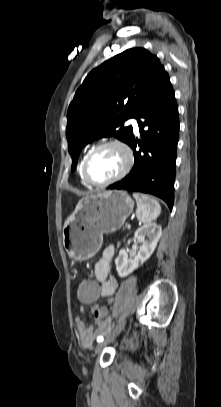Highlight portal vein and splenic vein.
Wrapping results in <instances>:
<instances>
[{
  "label": "portal vein and splenic vein",
  "mask_w": 221,
  "mask_h": 407,
  "mask_svg": "<svg viewBox=\"0 0 221 407\" xmlns=\"http://www.w3.org/2000/svg\"><path fill=\"white\" fill-rule=\"evenodd\" d=\"M127 228H128V229H130V228H131V226L128 224V225H127Z\"/></svg>",
  "instance_id": "18ae733b"
}]
</instances>
